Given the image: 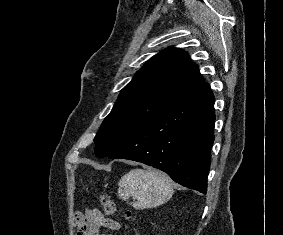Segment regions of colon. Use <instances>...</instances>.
<instances>
[{
    "mask_svg": "<svg viewBox=\"0 0 283 235\" xmlns=\"http://www.w3.org/2000/svg\"><path fill=\"white\" fill-rule=\"evenodd\" d=\"M100 203H101V206H102L105 214L114 215L117 212V207H116L115 203L113 202V200L110 198L109 195H107V194L101 195L100 196ZM126 217L128 219L133 218L131 216V214H129V213L126 215Z\"/></svg>",
    "mask_w": 283,
    "mask_h": 235,
    "instance_id": "5ec220e1",
    "label": "colon"
}]
</instances>
